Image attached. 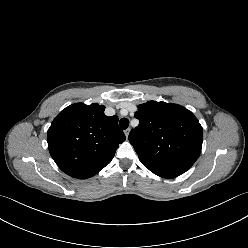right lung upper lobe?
I'll return each instance as SVG.
<instances>
[{
  "label": "right lung upper lobe",
  "mask_w": 248,
  "mask_h": 248,
  "mask_svg": "<svg viewBox=\"0 0 248 248\" xmlns=\"http://www.w3.org/2000/svg\"><path fill=\"white\" fill-rule=\"evenodd\" d=\"M105 106L76 103L62 110L47 132L49 152L58 167L79 179L108 165L125 141L118 117L104 114Z\"/></svg>",
  "instance_id": "obj_1"
}]
</instances>
